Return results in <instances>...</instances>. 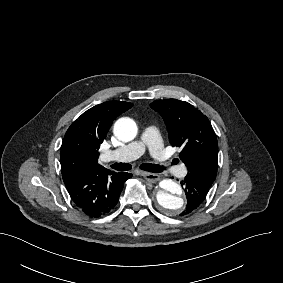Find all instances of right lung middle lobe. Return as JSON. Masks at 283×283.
<instances>
[{
    "instance_id": "1",
    "label": "right lung middle lobe",
    "mask_w": 283,
    "mask_h": 283,
    "mask_svg": "<svg viewBox=\"0 0 283 283\" xmlns=\"http://www.w3.org/2000/svg\"><path fill=\"white\" fill-rule=\"evenodd\" d=\"M62 175H70L76 168V160L69 159L61 162Z\"/></svg>"
}]
</instances>
